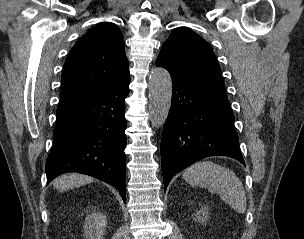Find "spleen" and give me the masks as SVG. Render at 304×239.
Returning a JSON list of instances; mask_svg holds the SVG:
<instances>
[{
  "mask_svg": "<svg viewBox=\"0 0 304 239\" xmlns=\"http://www.w3.org/2000/svg\"><path fill=\"white\" fill-rule=\"evenodd\" d=\"M183 179L192 186L207 188L211 193L219 194L237 213L246 211L244 187L232 170L211 161H201L187 168Z\"/></svg>",
  "mask_w": 304,
  "mask_h": 239,
  "instance_id": "3e777b00",
  "label": "spleen"
}]
</instances>
